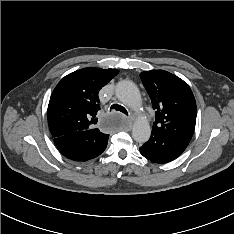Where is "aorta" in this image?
<instances>
[{
  "label": "aorta",
  "mask_w": 234,
  "mask_h": 234,
  "mask_svg": "<svg viewBox=\"0 0 234 234\" xmlns=\"http://www.w3.org/2000/svg\"><path fill=\"white\" fill-rule=\"evenodd\" d=\"M116 97L126 106L137 109L141 105V96L137 86L129 80L120 81L115 90ZM151 135V128L148 121L138 118L132 129L133 139L138 143H145Z\"/></svg>",
  "instance_id": "1"
}]
</instances>
